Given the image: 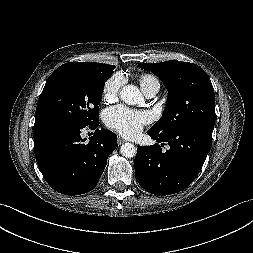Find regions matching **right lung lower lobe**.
<instances>
[{
  "label": "right lung lower lobe",
  "mask_w": 253,
  "mask_h": 253,
  "mask_svg": "<svg viewBox=\"0 0 253 253\" xmlns=\"http://www.w3.org/2000/svg\"><path fill=\"white\" fill-rule=\"evenodd\" d=\"M99 121L90 125L94 130ZM82 128L62 122L34 126V153L47 183L57 192L80 195L91 191L103 173L117 136L96 129L89 142L80 137Z\"/></svg>",
  "instance_id": "98d812e1"
}]
</instances>
